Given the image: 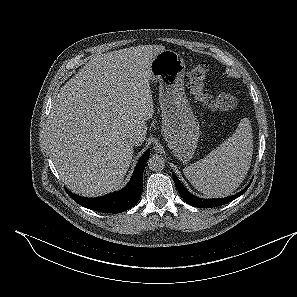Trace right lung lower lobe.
I'll use <instances>...</instances> for the list:
<instances>
[{"label": "right lung lower lobe", "instance_id": "obj_1", "mask_svg": "<svg viewBox=\"0 0 297 297\" xmlns=\"http://www.w3.org/2000/svg\"><path fill=\"white\" fill-rule=\"evenodd\" d=\"M150 151L140 158L129 184L119 192L99 198H83L71 193L68 195L83 207L103 213H120L132 208L140 199L143 191V171Z\"/></svg>", "mask_w": 297, "mask_h": 297}]
</instances>
